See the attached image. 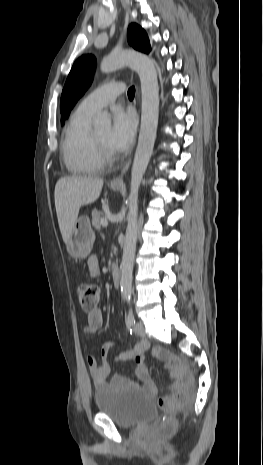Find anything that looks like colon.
Here are the masks:
<instances>
[{"label": "colon", "instance_id": "obj_1", "mask_svg": "<svg viewBox=\"0 0 263 465\" xmlns=\"http://www.w3.org/2000/svg\"><path fill=\"white\" fill-rule=\"evenodd\" d=\"M77 298L81 308L86 312H92L97 308L100 299L99 288L90 283H83L77 288ZM185 380L181 379L173 386V393L158 400L159 406L166 411L169 416L160 425L161 434L171 433L177 426L176 413L186 401Z\"/></svg>", "mask_w": 263, "mask_h": 465}]
</instances>
